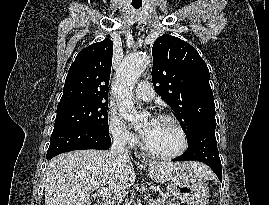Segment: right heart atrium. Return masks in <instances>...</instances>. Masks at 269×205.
<instances>
[{
	"mask_svg": "<svg viewBox=\"0 0 269 205\" xmlns=\"http://www.w3.org/2000/svg\"><path fill=\"white\" fill-rule=\"evenodd\" d=\"M107 130L110 137L122 146L132 148L138 143L137 138L129 131L121 117L113 111L107 115Z\"/></svg>",
	"mask_w": 269,
	"mask_h": 205,
	"instance_id": "1",
	"label": "right heart atrium"
}]
</instances>
